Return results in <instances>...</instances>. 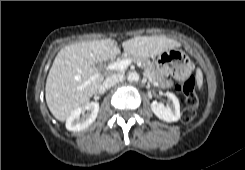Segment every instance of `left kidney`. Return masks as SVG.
<instances>
[{
  "instance_id": "left-kidney-1",
  "label": "left kidney",
  "mask_w": 245,
  "mask_h": 170,
  "mask_svg": "<svg viewBox=\"0 0 245 170\" xmlns=\"http://www.w3.org/2000/svg\"><path fill=\"white\" fill-rule=\"evenodd\" d=\"M166 96L172 101L171 106H165L163 103L153 101L151 109L154 114L161 120L166 122H176L180 119V104L178 98L171 92H167Z\"/></svg>"
}]
</instances>
